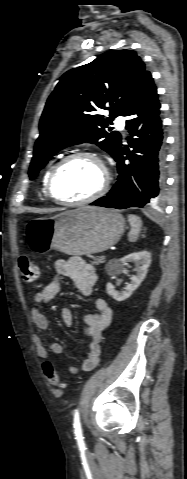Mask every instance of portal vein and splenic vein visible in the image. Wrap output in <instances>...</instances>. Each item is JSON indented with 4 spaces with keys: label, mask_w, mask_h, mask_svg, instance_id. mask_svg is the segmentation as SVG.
Wrapping results in <instances>:
<instances>
[{
    "label": "portal vein and splenic vein",
    "mask_w": 187,
    "mask_h": 479,
    "mask_svg": "<svg viewBox=\"0 0 187 479\" xmlns=\"http://www.w3.org/2000/svg\"><path fill=\"white\" fill-rule=\"evenodd\" d=\"M102 259H105V256H101Z\"/></svg>",
    "instance_id": "1"
}]
</instances>
